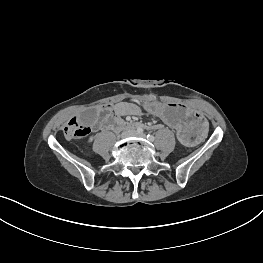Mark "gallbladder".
<instances>
[{
    "label": "gallbladder",
    "mask_w": 263,
    "mask_h": 263,
    "mask_svg": "<svg viewBox=\"0 0 263 263\" xmlns=\"http://www.w3.org/2000/svg\"><path fill=\"white\" fill-rule=\"evenodd\" d=\"M98 117V113L96 109H87L85 111L82 112L81 114V119L83 121V123L87 124V125H92L96 122Z\"/></svg>",
    "instance_id": "obj_1"
}]
</instances>
